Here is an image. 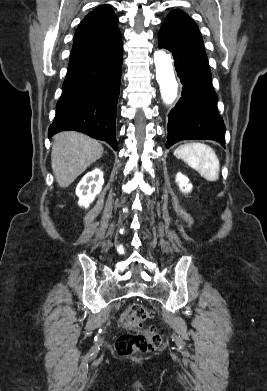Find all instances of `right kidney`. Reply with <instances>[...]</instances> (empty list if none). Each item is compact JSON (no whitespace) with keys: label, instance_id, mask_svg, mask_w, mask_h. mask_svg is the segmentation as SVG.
Instances as JSON below:
<instances>
[{"label":"right kidney","instance_id":"ca27d5eb","mask_svg":"<svg viewBox=\"0 0 267 391\" xmlns=\"http://www.w3.org/2000/svg\"><path fill=\"white\" fill-rule=\"evenodd\" d=\"M103 183V172L100 169L96 168L88 172L76 188V195L79 197L78 204L85 208L89 207L95 196L100 193Z\"/></svg>","mask_w":267,"mask_h":391}]
</instances>
